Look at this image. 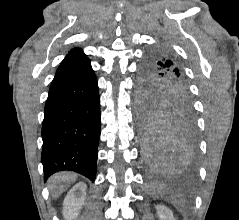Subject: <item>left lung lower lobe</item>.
<instances>
[{
  "label": "left lung lower lobe",
  "instance_id": "left-lung-lower-lobe-1",
  "mask_svg": "<svg viewBox=\"0 0 239 220\" xmlns=\"http://www.w3.org/2000/svg\"><path fill=\"white\" fill-rule=\"evenodd\" d=\"M195 123L192 112H166L144 125L143 153L153 168L186 165L194 158Z\"/></svg>",
  "mask_w": 239,
  "mask_h": 220
}]
</instances>
